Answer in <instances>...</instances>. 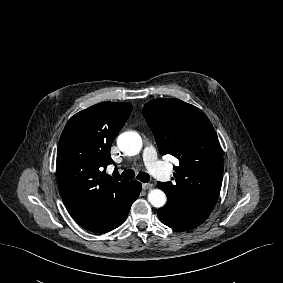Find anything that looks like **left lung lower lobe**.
Wrapping results in <instances>:
<instances>
[{
	"instance_id": "left-lung-lower-lobe-1",
	"label": "left lung lower lobe",
	"mask_w": 283,
	"mask_h": 283,
	"mask_svg": "<svg viewBox=\"0 0 283 283\" xmlns=\"http://www.w3.org/2000/svg\"><path fill=\"white\" fill-rule=\"evenodd\" d=\"M158 188L163 187L158 184ZM210 213L196 210L179 198L168 197L166 205L158 209V216L162 223L180 231H187L201 225Z\"/></svg>"
}]
</instances>
